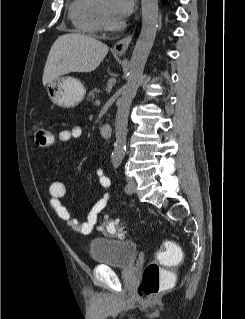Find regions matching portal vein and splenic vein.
I'll return each mask as SVG.
<instances>
[{
	"mask_svg": "<svg viewBox=\"0 0 245 319\" xmlns=\"http://www.w3.org/2000/svg\"><path fill=\"white\" fill-rule=\"evenodd\" d=\"M95 104H96V105H100V100H96V101H95Z\"/></svg>",
	"mask_w": 245,
	"mask_h": 319,
	"instance_id": "portal-vein-and-splenic-vein-1",
	"label": "portal vein and splenic vein"
}]
</instances>
